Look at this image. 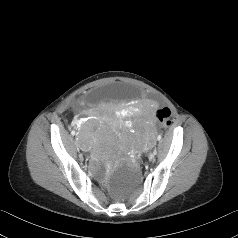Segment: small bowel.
<instances>
[{
	"instance_id": "1",
	"label": "small bowel",
	"mask_w": 238,
	"mask_h": 238,
	"mask_svg": "<svg viewBox=\"0 0 238 238\" xmlns=\"http://www.w3.org/2000/svg\"><path fill=\"white\" fill-rule=\"evenodd\" d=\"M154 110H155V106L152 103H148L146 105L145 115H146L147 122L149 123V125H153V122H154ZM82 122H83V118L82 117H77V118L74 119L73 125L79 126Z\"/></svg>"
}]
</instances>
